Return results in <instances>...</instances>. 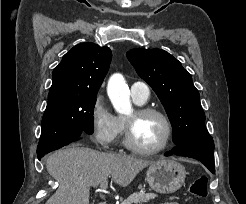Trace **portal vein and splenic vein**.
<instances>
[{
	"instance_id": "obj_1",
	"label": "portal vein and splenic vein",
	"mask_w": 246,
	"mask_h": 204,
	"mask_svg": "<svg viewBox=\"0 0 246 204\" xmlns=\"http://www.w3.org/2000/svg\"><path fill=\"white\" fill-rule=\"evenodd\" d=\"M108 186V182L107 181H103L100 183V189L101 191H105L107 189Z\"/></svg>"
}]
</instances>
